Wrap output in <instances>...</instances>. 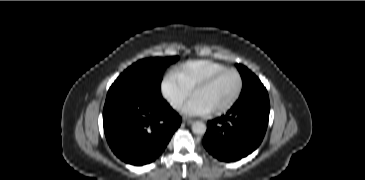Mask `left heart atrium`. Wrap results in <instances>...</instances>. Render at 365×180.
Instances as JSON below:
<instances>
[{
    "mask_svg": "<svg viewBox=\"0 0 365 180\" xmlns=\"http://www.w3.org/2000/svg\"><path fill=\"white\" fill-rule=\"evenodd\" d=\"M208 110L195 98H193L184 108V113L188 115H203Z\"/></svg>",
    "mask_w": 365,
    "mask_h": 180,
    "instance_id": "left-heart-atrium-1",
    "label": "left heart atrium"
}]
</instances>
